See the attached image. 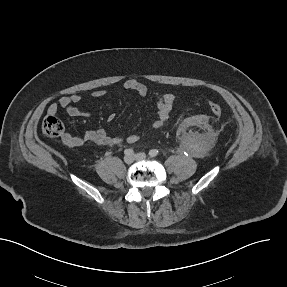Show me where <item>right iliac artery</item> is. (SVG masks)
Segmentation results:
<instances>
[{
	"label": "right iliac artery",
	"mask_w": 287,
	"mask_h": 287,
	"mask_svg": "<svg viewBox=\"0 0 287 287\" xmlns=\"http://www.w3.org/2000/svg\"><path fill=\"white\" fill-rule=\"evenodd\" d=\"M124 154H125V155H133V154H134V151H133V149H125V150H124Z\"/></svg>",
	"instance_id": "obj_1"
}]
</instances>
